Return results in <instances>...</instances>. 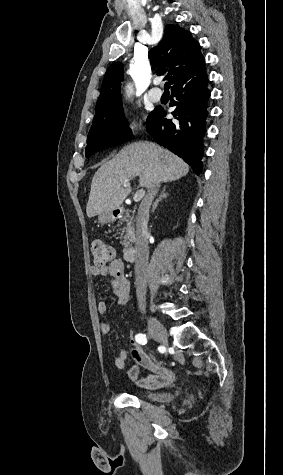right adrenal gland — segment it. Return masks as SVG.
Returning a JSON list of instances; mask_svg holds the SVG:
<instances>
[{
	"label": "right adrenal gland",
	"instance_id": "2a0ac1e0",
	"mask_svg": "<svg viewBox=\"0 0 283 475\" xmlns=\"http://www.w3.org/2000/svg\"><path fill=\"white\" fill-rule=\"evenodd\" d=\"M168 194H166V186H164L163 190H162V194L161 196H159L158 200H156V202H154L153 206H152V210H156L159 202H162V200H164V198H167Z\"/></svg>",
	"mask_w": 283,
	"mask_h": 475
}]
</instances>
